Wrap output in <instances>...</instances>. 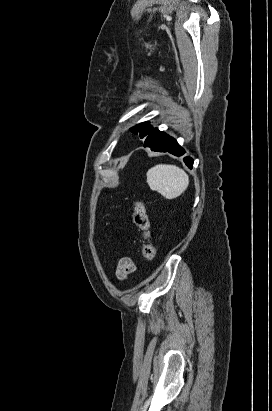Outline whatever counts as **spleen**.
<instances>
[{"label": "spleen", "mask_w": 272, "mask_h": 411, "mask_svg": "<svg viewBox=\"0 0 272 411\" xmlns=\"http://www.w3.org/2000/svg\"><path fill=\"white\" fill-rule=\"evenodd\" d=\"M147 183L166 199H174L187 189L189 177L175 165L158 164L147 171Z\"/></svg>", "instance_id": "spleen-1"}]
</instances>
